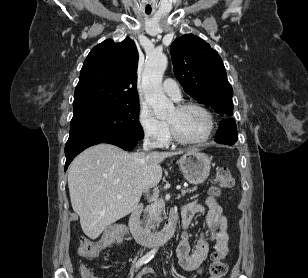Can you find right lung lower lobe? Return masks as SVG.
<instances>
[{"instance_id": "1", "label": "right lung lower lobe", "mask_w": 308, "mask_h": 278, "mask_svg": "<svg viewBox=\"0 0 308 278\" xmlns=\"http://www.w3.org/2000/svg\"><path fill=\"white\" fill-rule=\"evenodd\" d=\"M137 140L138 138L127 135L107 133H92L69 136V139L65 145V170H67L68 165L76 155L92 145L99 143H109L129 151L136 146Z\"/></svg>"}]
</instances>
